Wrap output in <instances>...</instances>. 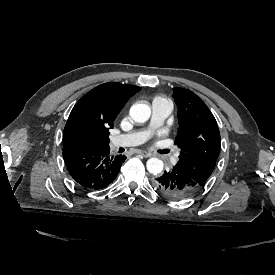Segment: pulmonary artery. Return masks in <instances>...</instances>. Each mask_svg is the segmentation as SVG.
<instances>
[{"label":"pulmonary artery","mask_w":275,"mask_h":275,"mask_svg":"<svg viewBox=\"0 0 275 275\" xmlns=\"http://www.w3.org/2000/svg\"><path fill=\"white\" fill-rule=\"evenodd\" d=\"M152 109L154 111V116L150 123L151 128L154 124H158L159 126H161V123L164 121L171 110V103L168 99L164 97H157L152 102ZM144 131L148 132L151 130L146 129ZM141 133L142 131H134L126 134H121L111 139V148L116 149L120 147L136 146L141 144L144 139L149 140L152 138H143L141 136ZM169 160L170 166L175 167L179 162V157L176 153H171L169 155Z\"/></svg>","instance_id":"pulmonary-artery-1"}]
</instances>
